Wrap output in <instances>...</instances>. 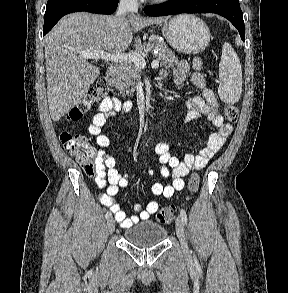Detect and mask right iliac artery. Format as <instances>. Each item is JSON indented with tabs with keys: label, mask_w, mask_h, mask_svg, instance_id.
I'll return each mask as SVG.
<instances>
[{
	"label": "right iliac artery",
	"mask_w": 288,
	"mask_h": 293,
	"mask_svg": "<svg viewBox=\"0 0 288 293\" xmlns=\"http://www.w3.org/2000/svg\"><path fill=\"white\" fill-rule=\"evenodd\" d=\"M105 217H106V219H109L111 217V212H107Z\"/></svg>",
	"instance_id": "obj_1"
}]
</instances>
